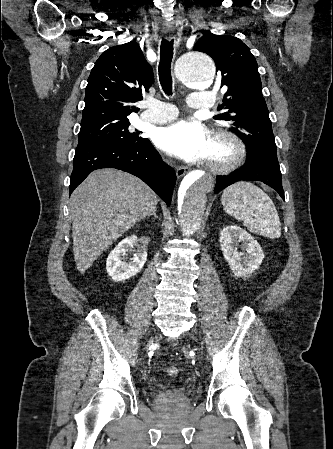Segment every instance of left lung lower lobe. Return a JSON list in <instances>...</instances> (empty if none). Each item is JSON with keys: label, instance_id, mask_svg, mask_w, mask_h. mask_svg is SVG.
<instances>
[{"label": "left lung lower lobe", "instance_id": "1", "mask_svg": "<svg viewBox=\"0 0 333 449\" xmlns=\"http://www.w3.org/2000/svg\"><path fill=\"white\" fill-rule=\"evenodd\" d=\"M241 180H257L275 189L284 199L281 172L278 163H247L237 171L225 175L217 176L214 192L217 194L227 186Z\"/></svg>", "mask_w": 333, "mask_h": 449}]
</instances>
